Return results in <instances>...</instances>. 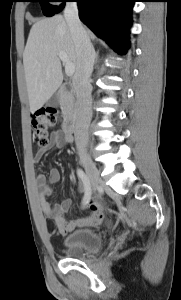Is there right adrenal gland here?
<instances>
[{"mask_svg":"<svg viewBox=\"0 0 181 300\" xmlns=\"http://www.w3.org/2000/svg\"><path fill=\"white\" fill-rule=\"evenodd\" d=\"M98 58H99V52L97 51V52L95 53V64H97Z\"/></svg>","mask_w":181,"mask_h":300,"instance_id":"obj_1","label":"right adrenal gland"}]
</instances>
